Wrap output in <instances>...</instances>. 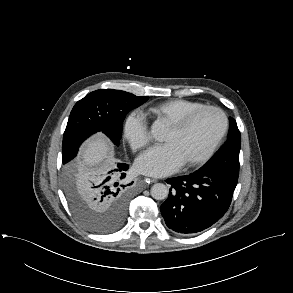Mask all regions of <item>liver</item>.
Here are the masks:
<instances>
[{
	"label": "liver",
	"instance_id": "liver-1",
	"mask_svg": "<svg viewBox=\"0 0 293 293\" xmlns=\"http://www.w3.org/2000/svg\"><path fill=\"white\" fill-rule=\"evenodd\" d=\"M111 153L107 140L99 135L86 143L82 153V163L86 168H96L103 162L111 160Z\"/></svg>",
	"mask_w": 293,
	"mask_h": 293
}]
</instances>
